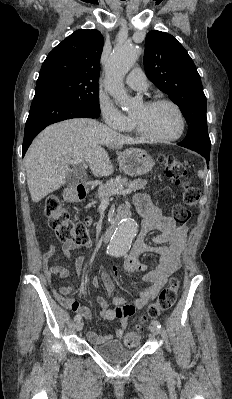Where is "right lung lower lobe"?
<instances>
[{
  "instance_id": "right-lung-lower-lobe-1",
  "label": "right lung lower lobe",
  "mask_w": 232,
  "mask_h": 399,
  "mask_svg": "<svg viewBox=\"0 0 232 399\" xmlns=\"http://www.w3.org/2000/svg\"><path fill=\"white\" fill-rule=\"evenodd\" d=\"M95 112L55 91L35 90L28 119L25 124L23 156L32 140L50 124L72 118H98Z\"/></svg>"
}]
</instances>
